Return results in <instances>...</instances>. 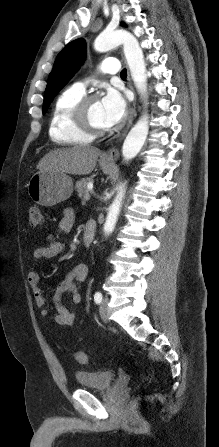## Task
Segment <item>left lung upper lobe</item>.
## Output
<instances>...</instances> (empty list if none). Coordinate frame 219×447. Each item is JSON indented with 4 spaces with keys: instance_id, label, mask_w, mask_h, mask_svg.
<instances>
[{
    "instance_id": "left-lung-upper-lobe-1",
    "label": "left lung upper lobe",
    "mask_w": 219,
    "mask_h": 447,
    "mask_svg": "<svg viewBox=\"0 0 219 447\" xmlns=\"http://www.w3.org/2000/svg\"><path fill=\"white\" fill-rule=\"evenodd\" d=\"M84 58L85 41L81 38L68 43L58 54L44 93L43 113L47 111L54 97L79 69Z\"/></svg>"
}]
</instances>
